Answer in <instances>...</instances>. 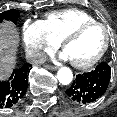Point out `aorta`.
<instances>
[{
	"label": "aorta",
	"instance_id": "1",
	"mask_svg": "<svg viewBox=\"0 0 117 117\" xmlns=\"http://www.w3.org/2000/svg\"><path fill=\"white\" fill-rule=\"evenodd\" d=\"M58 81L63 85H68L72 82L73 73L68 67H62L57 73Z\"/></svg>",
	"mask_w": 117,
	"mask_h": 117
}]
</instances>
